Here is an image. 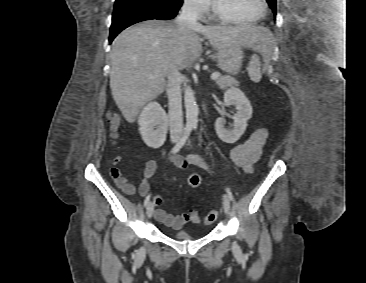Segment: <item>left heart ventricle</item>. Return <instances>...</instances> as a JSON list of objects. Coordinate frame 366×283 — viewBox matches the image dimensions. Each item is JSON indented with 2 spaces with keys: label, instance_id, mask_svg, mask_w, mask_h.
<instances>
[{
  "label": "left heart ventricle",
  "instance_id": "obj_1",
  "mask_svg": "<svg viewBox=\"0 0 366 283\" xmlns=\"http://www.w3.org/2000/svg\"><path fill=\"white\" fill-rule=\"evenodd\" d=\"M226 14L239 20H251L262 10L260 0H216Z\"/></svg>",
  "mask_w": 366,
  "mask_h": 283
}]
</instances>
